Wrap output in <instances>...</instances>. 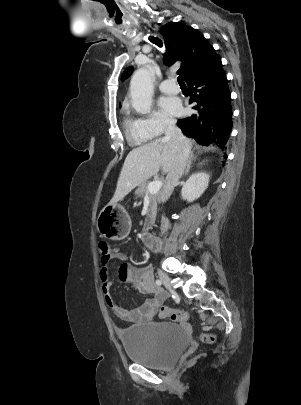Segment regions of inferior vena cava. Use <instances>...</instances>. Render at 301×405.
<instances>
[{
    "mask_svg": "<svg viewBox=\"0 0 301 405\" xmlns=\"http://www.w3.org/2000/svg\"><path fill=\"white\" fill-rule=\"evenodd\" d=\"M165 138L172 139L175 142L176 156L168 171L163 189L160 193L161 202H165L170 197L174 186L178 183L184 173L190 154L189 143L181 130L176 126V121L174 119L166 120Z\"/></svg>",
    "mask_w": 301,
    "mask_h": 405,
    "instance_id": "obj_1",
    "label": "inferior vena cava"
}]
</instances>
